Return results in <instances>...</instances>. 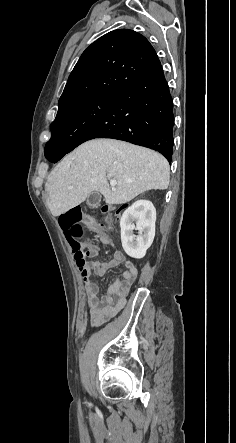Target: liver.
<instances>
[{
  "mask_svg": "<svg viewBox=\"0 0 236 443\" xmlns=\"http://www.w3.org/2000/svg\"><path fill=\"white\" fill-rule=\"evenodd\" d=\"M108 179L116 181L111 190ZM170 179L168 161L159 153L114 139L83 143L53 169L45 190L53 216L81 204L92 192L109 205L131 201L148 190H165Z\"/></svg>",
  "mask_w": 236,
  "mask_h": 443,
  "instance_id": "1",
  "label": "liver"
}]
</instances>
